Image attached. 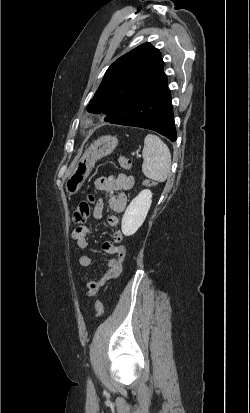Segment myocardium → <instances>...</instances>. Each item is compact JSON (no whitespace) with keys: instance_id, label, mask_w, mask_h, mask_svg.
Listing matches in <instances>:
<instances>
[{"instance_id":"myocardium-1","label":"myocardium","mask_w":250,"mask_h":413,"mask_svg":"<svg viewBox=\"0 0 250 413\" xmlns=\"http://www.w3.org/2000/svg\"><path fill=\"white\" fill-rule=\"evenodd\" d=\"M94 122H95L94 117L90 116L82 121L81 126L83 130H88L89 128L93 126Z\"/></svg>"}]
</instances>
